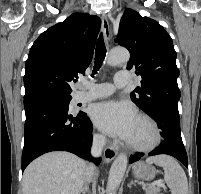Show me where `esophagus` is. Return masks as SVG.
Returning a JSON list of instances; mask_svg holds the SVG:
<instances>
[{
    "mask_svg": "<svg viewBox=\"0 0 201 194\" xmlns=\"http://www.w3.org/2000/svg\"><path fill=\"white\" fill-rule=\"evenodd\" d=\"M102 19V29H103V34L105 41L108 43L110 40V25L108 21V17L106 14H102L101 16ZM116 150L111 147V146H106L104 148V160L109 163L111 162L115 157H116Z\"/></svg>",
    "mask_w": 201,
    "mask_h": 194,
    "instance_id": "1",
    "label": "esophagus"
}]
</instances>
